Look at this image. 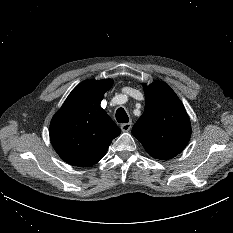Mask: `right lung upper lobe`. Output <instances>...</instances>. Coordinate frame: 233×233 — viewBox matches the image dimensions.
Segmentation results:
<instances>
[{"label": "right lung upper lobe", "instance_id": "obj_1", "mask_svg": "<svg viewBox=\"0 0 233 233\" xmlns=\"http://www.w3.org/2000/svg\"><path fill=\"white\" fill-rule=\"evenodd\" d=\"M113 80H85L77 85L50 123V140L67 163L88 167L104 157L121 130L100 103Z\"/></svg>", "mask_w": 233, "mask_h": 233}]
</instances>
